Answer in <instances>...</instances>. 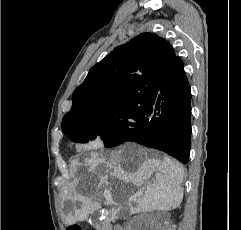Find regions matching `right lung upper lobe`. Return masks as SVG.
<instances>
[{
	"label": "right lung upper lobe",
	"mask_w": 241,
	"mask_h": 230,
	"mask_svg": "<svg viewBox=\"0 0 241 230\" xmlns=\"http://www.w3.org/2000/svg\"><path fill=\"white\" fill-rule=\"evenodd\" d=\"M177 59L170 43L154 33H142L116 47L73 92L72 108L61 125L64 133L79 122L104 119L113 109L151 101Z\"/></svg>",
	"instance_id": "obj_1"
}]
</instances>
